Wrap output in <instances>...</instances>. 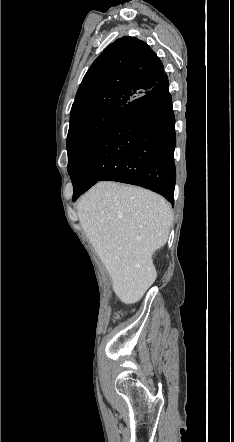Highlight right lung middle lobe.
<instances>
[{"label": "right lung middle lobe", "instance_id": "obj_1", "mask_svg": "<svg viewBox=\"0 0 234 442\" xmlns=\"http://www.w3.org/2000/svg\"><path fill=\"white\" fill-rule=\"evenodd\" d=\"M120 109H105L70 122L67 136L68 172L74 168L104 134Z\"/></svg>", "mask_w": 234, "mask_h": 442}]
</instances>
